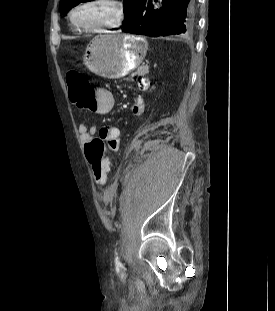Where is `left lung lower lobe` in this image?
Here are the masks:
<instances>
[{"label": "left lung lower lobe", "mask_w": 275, "mask_h": 311, "mask_svg": "<svg viewBox=\"0 0 275 311\" xmlns=\"http://www.w3.org/2000/svg\"><path fill=\"white\" fill-rule=\"evenodd\" d=\"M195 27V0H144L124 32L151 37L186 36Z\"/></svg>", "instance_id": "0a47b994"}]
</instances>
